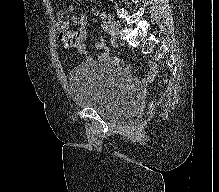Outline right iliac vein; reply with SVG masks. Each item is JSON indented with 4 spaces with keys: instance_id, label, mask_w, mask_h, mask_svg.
Returning a JSON list of instances; mask_svg holds the SVG:
<instances>
[{
    "instance_id": "1",
    "label": "right iliac vein",
    "mask_w": 219,
    "mask_h": 192,
    "mask_svg": "<svg viewBox=\"0 0 219 192\" xmlns=\"http://www.w3.org/2000/svg\"><path fill=\"white\" fill-rule=\"evenodd\" d=\"M108 23L110 25L112 35L115 38H117V36L119 34V27H120L118 21H116V19H114V17H112L110 14H108Z\"/></svg>"
}]
</instances>
